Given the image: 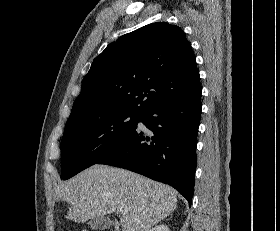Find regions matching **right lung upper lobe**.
Returning a JSON list of instances; mask_svg holds the SVG:
<instances>
[{
	"mask_svg": "<svg viewBox=\"0 0 280 231\" xmlns=\"http://www.w3.org/2000/svg\"><path fill=\"white\" fill-rule=\"evenodd\" d=\"M201 89L196 58L183 30L151 23L121 36L93 60L68 120L143 114Z\"/></svg>",
	"mask_w": 280,
	"mask_h": 231,
	"instance_id": "1",
	"label": "right lung upper lobe"
}]
</instances>
